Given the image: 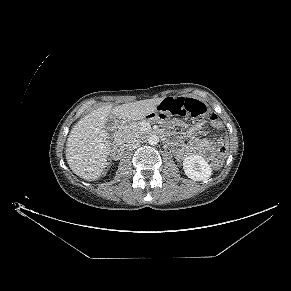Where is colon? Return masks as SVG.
I'll list each match as a JSON object with an SVG mask.
<instances>
[{"instance_id":"5ec220e1","label":"colon","mask_w":291,"mask_h":291,"mask_svg":"<svg viewBox=\"0 0 291 291\" xmlns=\"http://www.w3.org/2000/svg\"><path fill=\"white\" fill-rule=\"evenodd\" d=\"M159 110L173 116L204 117L213 122V124L217 126L220 125L217 116L213 111H211L203 102L192 98H166L160 104ZM217 150L220 156L212 163V166L215 169H218L223 165L222 156L227 153L228 144L225 141L219 142Z\"/></svg>"}]
</instances>
